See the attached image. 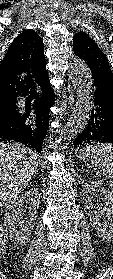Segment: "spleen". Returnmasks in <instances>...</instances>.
<instances>
[{
    "mask_svg": "<svg viewBox=\"0 0 113 279\" xmlns=\"http://www.w3.org/2000/svg\"><path fill=\"white\" fill-rule=\"evenodd\" d=\"M82 160L89 161L95 167L104 168L111 179L110 188L113 191V145L110 143H98L85 146L80 150ZM90 168V164H87Z\"/></svg>",
    "mask_w": 113,
    "mask_h": 279,
    "instance_id": "1",
    "label": "spleen"
}]
</instances>
